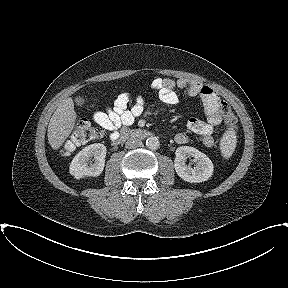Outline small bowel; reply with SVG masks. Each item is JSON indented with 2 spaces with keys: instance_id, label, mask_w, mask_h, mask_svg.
Returning <instances> with one entry per match:
<instances>
[{
  "instance_id": "1",
  "label": "small bowel",
  "mask_w": 288,
  "mask_h": 288,
  "mask_svg": "<svg viewBox=\"0 0 288 288\" xmlns=\"http://www.w3.org/2000/svg\"><path fill=\"white\" fill-rule=\"evenodd\" d=\"M151 88L158 100L166 105H175L179 98L176 90H183L190 97H198L202 101L206 119L190 118L187 128L198 136L201 142L207 146L214 145V130L222 121L219 111L220 98L209 86L197 81L181 78L173 80L170 78H155L151 82ZM145 108V98L138 94L132 97L128 93L120 94L112 108L106 111H98L93 115L94 121L110 132V139L113 140L119 135L122 126H129L134 123ZM178 144H185L187 136L178 133L175 136Z\"/></svg>"
}]
</instances>
